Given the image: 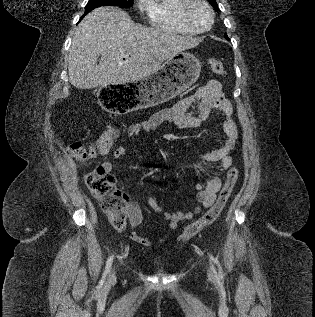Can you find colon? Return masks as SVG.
<instances>
[{"mask_svg":"<svg viewBox=\"0 0 315 317\" xmlns=\"http://www.w3.org/2000/svg\"><path fill=\"white\" fill-rule=\"evenodd\" d=\"M211 71L217 75H224L225 70L221 61L216 59L208 60ZM120 128L112 126L104 133L96 144L87 148L81 142H73L68 145L69 156L80 162L92 160L98 155L106 154L112 143L119 135ZM238 180V170L231 168L226 180L219 192L214 205L198 221L188 225L181 235V241L185 242L197 235L203 228L214 223L225 208L231 197L233 189ZM84 181L91 193L101 204L103 211L111 223L117 229L122 230L126 226L128 216V199L115 185V179L110 172H107L102 165L86 172Z\"/></svg>","mask_w":315,"mask_h":317,"instance_id":"obj_1","label":"colon"}]
</instances>
